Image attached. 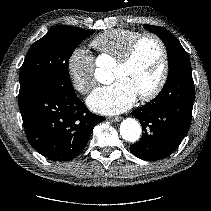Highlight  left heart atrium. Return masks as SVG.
<instances>
[{
	"label": "left heart atrium",
	"mask_w": 211,
	"mask_h": 211,
	"mask_svg": "<svg viewBox=\"0 0 211 211\" xmlns=\"http://www.w3.org/2000/svg\"><path fill=\"white\" fill-rule=\"evenodd\" d=\"M138 95L133 87L124 80L95 89L88 97L89 107L100 114L114 115L129 109Z\"/></svg>",
	"instance_id": "39dd6f15"
}]
</instances>
